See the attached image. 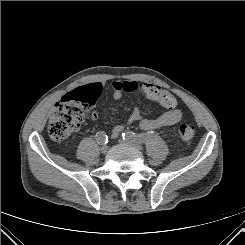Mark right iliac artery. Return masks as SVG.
Here are the masks:
<instances>
[{"label":"right iliac artery","instance_id":"82829eb1","mask_svg":"<svg viewBox=\"0 0 245 245\" xmlns=\"http://www.w3.org/2000/svg\"><path fill=\"white\" fill-rule=\"evenodd\" d=\"M96 141L98 144H106L108 143V137L105 132L100 131L96 134Z\"/></svg>","mask_w":245,"mask_h":245}]
</instances>
